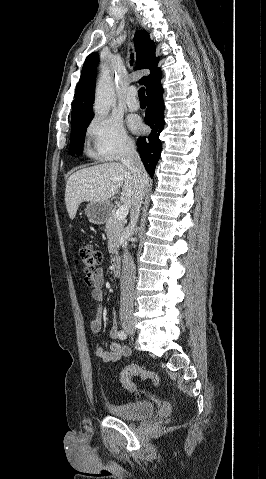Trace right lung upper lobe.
I'll use <instances>...</instances> for the list:
<instances>
[{
    "mask_svg": "<svg viewBox=\"0 0 266 479\" xmlns=\"http://www.w3.org/2000/svg\"><path fill=\"white\" fill-rule=\"evenodd\" d=\"M134 45L137 55V69H149L150 75L139 80L146 86V91L161 81V70L157 68L158 58L155 57V44L145 30H139L134 35ZM99 60L97 52L91 53L85 60L80 80L76 86L72 105L71 123L94 116L92 105L95 96L96 69Z\"/></svg>",
    "mask_w": 266,
    "mask_h": 479,
    "instance_id": "obj_1",
    "label": "right lung upper lobe"
}]
</instances>
